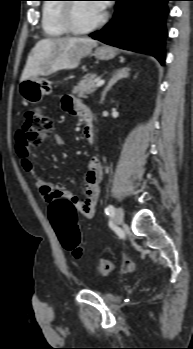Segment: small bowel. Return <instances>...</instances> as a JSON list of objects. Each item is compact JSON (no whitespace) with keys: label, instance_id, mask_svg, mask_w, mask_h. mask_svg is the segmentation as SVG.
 Wrapping results in <instances>:
<instances>
[{"label":"small bowel","instance_id":"c3829d8e","mask_svg":"<svg viewBox=\"0 0 193 349\" xmlns=\"http://www.w3.org/2000/svg\"><path fill=\"white\" fill-rule=\"evenodd\" d=\"M61 104L64 111L70 114L81 115L83 117L85 112L89 110L80 100L70 95L64 96ZM83 133L86 141L89 144H93L94 137L92 128H88L86 125ZM54 140L59 145H65L63 138L59 135H55ZM16 153L21 160L23 169L34 178L44 202L50 204L59 199L69 200L75 205L77 211L84 218L91 219L94 216L95 207L99 197V186L102 178V164L98 157H92L87 163L86 172L83 176L85 197L80 200L78 197L66 190L62 184L53 185L47 183L37 175L30 157L28 143L26 142L22 131L16 133ZM133 268V262L130 259L125 258L120 273H129Z\"/></svg>","mask_w":193,"mask_h":349}]
</instances>
